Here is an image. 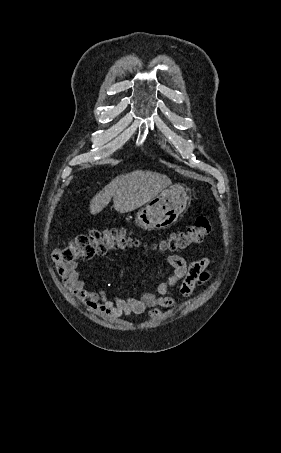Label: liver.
Listing matches in <instances>:
<instances>
[{"instance_id":"liver-1","label":"liver","mask_w":281,"mask_h":453,"mask_svg":"<svg viewBox=\"0 0 281 453\" xmlns=\"http://www.w3.org/2000/svg\"><path fill=\"white\" fill-rule=\"evenodd\" d=\"M169 184H172L169 176L152 170H133L127 174H119L91 198L90 212L97 214L103 210L112 196L117 212H130L152 200Z\"/></svg>"}]
</instances>
